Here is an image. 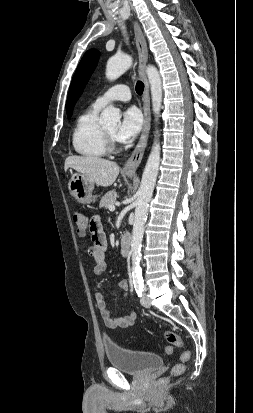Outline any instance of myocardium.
<instances>
[{
	"label": "myocardium",
	"mask_w": 253,
	"mask_h": 413,
	"mask_svg": "<svg viewBox=\"0 0 253 413\" xmlns=\"http://www.w3.org/2000/svg\"><path fill=\"white\" fill-rule=\"evenodd\" d=\"M105 143H106V149L108 151H116L117 150V144L115 140V136L108 132L104 127H102Z\"/></svg>",
	"instance_id": "myocardium-1"
}]
</instances>
